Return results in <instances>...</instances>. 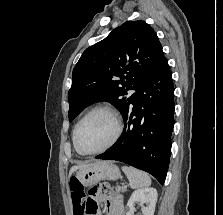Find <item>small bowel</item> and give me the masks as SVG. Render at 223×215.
I'll return each instance as SVG.
<instances>
[{
	"instance_id": "small-bowel-1",
	"label": "small bowel",
	"mask_w": 223,
	"mask_h": 215,
	"mask_svg": "<svg viewBox=\"0 0 223 215\" xmlns=\"http://www.w3.org/2000/svg\"><path fill=\"white\" fill-rule=\"evenodd\" d=\"M90 210L86 215H101L98 210V203L105 205L108 215H124V201L120 195L115 194L108 185L97 184L89 191L87 198Z\"/></svg>"
}]
</instances>
